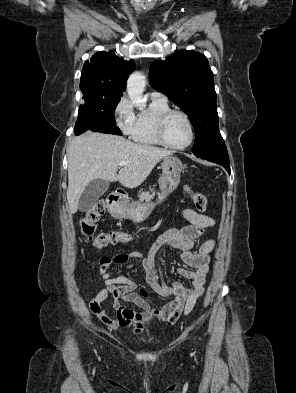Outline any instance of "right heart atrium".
Segmentation results:
<instances>
[{
  "mask_svg": "<svg viewBox=\"0 0 296 393\" xmlns=\"http://www.w3.org/2000/svg\"><path fill=\"white\" fill-rule=\"evenodd\" d=\"M116 123L121 131L127 136H133L136 126V115L132 102L129 98L123 97L115 106Z\"/></svg>",
  "mask_w": 296,
  "mask_h": 393,
  "instance_id": "1",
  "label": "right heart atrium"
}]
</instances>
